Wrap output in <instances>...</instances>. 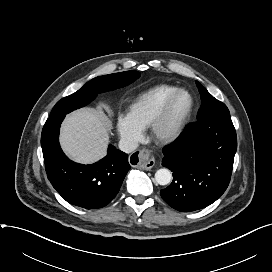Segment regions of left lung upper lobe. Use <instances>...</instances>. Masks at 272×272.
Masks as SVG:
<instances>
[{"mask_svg":"<svg viewBox=\"0 0 272 272\" xmlns=\"http://www.w3.org/2000/svg\"><path fill=\"white\" fill-rule=\"evenodd\" d=\"M196 85L201 94V107L198 111L197 121L223 114H230L226 105L215 99L198 81Z\"/></svg>","mask_w":272,"mask_h":272,"instance_id":"1","label":"left lung upper lobe"}]
</instances>
